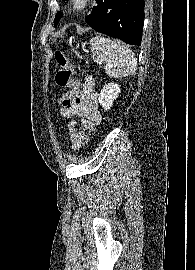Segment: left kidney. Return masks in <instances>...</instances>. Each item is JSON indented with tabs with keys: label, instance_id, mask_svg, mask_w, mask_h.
I'll return each mask as SVG.
<instances>
[{
	"label": "left kidney",
	"instance_id": "left-kidney-1",
	"mask_svg": "<svg viewBox=\"0 0 195 270\" xmlns=\"http://www.w3.org/2000/svg\"><path fill=\"white\" fill-rule=\"evenodd\" d=\"M121 92L120 86L115 83H107L103 86L100 95L99 103L105 109H111L114 100L119 96Z\"/></svg>",
	"mask_w": 195,
	"mask_h": 270
}]
</instances>
